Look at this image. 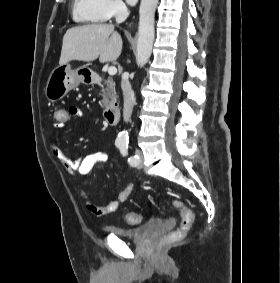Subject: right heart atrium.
<instances>
[{
	"label": "right heart atrium",
	"instance_id": "1",
	"mask_svg": "<svg viewBox=\"0 0 280 283\" xmlns=\"http://www.w3.org/2000/svg\"><path fill=\"white\" fill-rule=\"evenodd\" d=\"M101 9L107 19L120 18L126 12V6L122 0H101Z\"/></svg>",
	"mask_w": 280,
	"mask_h": 283
}]
</instances>
